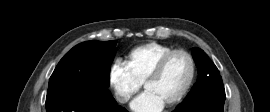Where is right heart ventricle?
Instances as JSON below:
<instances>
[{
	"label": "right heart ventricle",
	"mask_w": 270,
	"mask_h": 112,
	"mask_svg": "<svg viewBox=\"0 0 270 112\" xmlns=\"http://www.w3.org/2000/svg\"><path fill=\"white\" fill-rule=\"evenodd\" d=\"M171 50H173L171 46L157 42L137 46L126 54L125 66L134 78L142 84L157 61Z\"/></svg>",
	"instance_id": "obj_1"
}]
</instances>
